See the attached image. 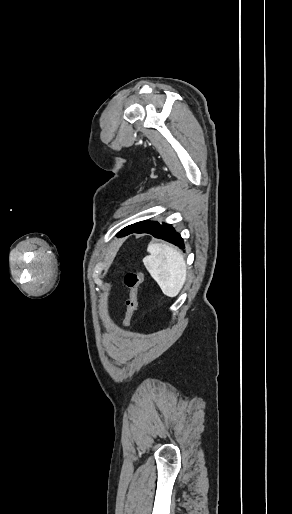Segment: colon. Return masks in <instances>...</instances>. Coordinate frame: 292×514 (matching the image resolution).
Instances as JSON below:
<instances>
[{
  "mask_svg": "<svg viewBox=\"0 0 292 514\" xmlns=\"http://www.w3.org/2000/svg\"><path fill=\"white\" fill-rule=\"evenodd\" d=\"M143 275L139 270H130L125 275V286L128 290L126 300V313L123 318V326L129 327L137 307L138 290L142 283Z\"/></svg>",
  "mask_w": 292,
  "mask_h": 514,
  "instance_id": "1",
  "label": "colon"
}]
</instances>
